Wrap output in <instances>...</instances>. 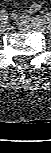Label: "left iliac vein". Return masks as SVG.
Listing matches in <instances>:
<instances>
[{"instance_id": "4c4485c4", "label": "left iliac vein", "mask_w": 51, "mask_h": 153, "mask_svg": "<svg viewBox=\"0 0 51 153\" xmlns=\"http://www.w3.org/2000/svg\"><path fill=\"white\" fill-rule=\"evenodd\" d=\"M18 25L24 29H33V30H38V31H45L46 26L38 22L37 20H32L31 19H26V18H21L20 22Z\"/></svg>"}]
</instances>
